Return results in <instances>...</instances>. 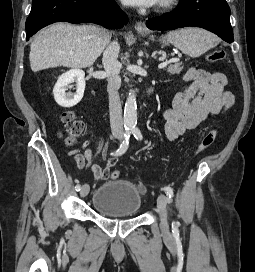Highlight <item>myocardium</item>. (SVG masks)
I'll return each mask as SVG.
<instances>
[{
  "label": "myocardium",
  "instance_id": "myocardium-1",
  "mask_svg": "<svg viewBox=\"0 0 255 272\" xmlns=\"http://www.w3.org/2000/svg\"><path fill=\"white\" fill-rule=\"evenodd\" d=\"M179 0H159L157 9L159 11L167 10L173 7Z\"/></svg>",
  "mask_w": 255,
  "mask_h": 272
}]
</instances>
